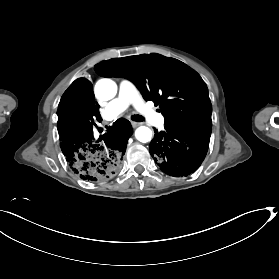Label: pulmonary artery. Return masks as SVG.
<instances>
[{
  "mask_svg": "<svg viewBox=\"0 0 279 279\" xmlns=\"http://www.w3.org/2000/svg\"><path fill=\"white\" fill-rule=\"evenodd\" d=\"M133 96V84L128 80H121L118 85L117 97L110 101L103 109L104 117L108 120L118 118L127 111L130 105L141 111L142 102L140 100L132 101Z\"/></svg>",
  "mask_w": 279,
  "mask_h": 279,
  "instance_id": "obj_1",
  "label": "pulmonary artery"
}]
</instances>
